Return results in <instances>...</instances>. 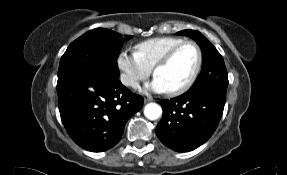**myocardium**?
Here are the masks:
<instances>
[{"instance_id": "f54148a6", "label": "myocardium", "mask_w": 287, "mask_h": 175, "mask_svg": "<svg viewBox=\"0 0 287 175\" xmlns=\"http://www.w3.org/2000/svg\"><path fill=\"white\" fill-rule=\"evenodd\" d=\"M186 45H192L195 47L196 51H197V55H198V60H197V65L196 68L192 74V76L189 78V80L182 85L181 87L174 89V90H170L168 91V93L172 96H178L181 94H184L185 92H187L197 81L201 70H202V66H203V51L200 47V45L193 41V40H184L183 42L175 45L174 47H172L170 50H168L153 66V74L155 75L157 70L163 66H165L166 64H168L172 58L175 56V54L184 46Z\"/></svg>"}]
</instances>
